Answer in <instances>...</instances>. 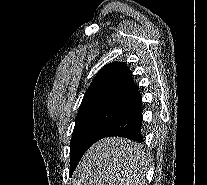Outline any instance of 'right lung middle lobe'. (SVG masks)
<instances>
[{
    "label": "right lung middle lobe",
    "instance_id": "dd1d6c3e",
    "mask_svg": "<svg viewBox=\"0 0 207 185\" xmlns=\"http://www.w3.org/2000/svg\"><path fill=\"white\" fill-rule=\"evenodd\" d=\"M124 111L97 108L77 115L70 145V174H72L87 149L116 122Z\"/></svg>",
    "mask_w": 207,
    "mask_h": 185
}]
</instances>
